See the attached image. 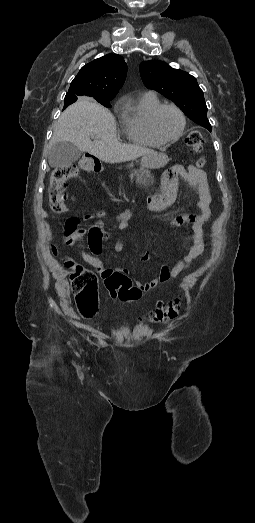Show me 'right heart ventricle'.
I'll return each mask as SVG.
<instances>
[{"mask_svg": "<svg viewBox=\"0 0 255 523\" xmlns=\"http://www.w3.org/2000/svg\"><path fill=\"white\" fill-rule=\"evenodd\" d=\"M162 104L159 96L153 90L144 91L137 100L128 102L119 117L120 130L127 142L142 145H160L149 129V118L152 111Z\"/></svg>", "mask_w": 255, "mask_h": 523, "instance_id": "obj_1", "label": "right heart ventricle"}]
</instances>
